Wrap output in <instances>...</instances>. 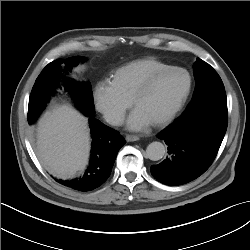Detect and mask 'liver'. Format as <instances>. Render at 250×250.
Wrapping results in <instances>:
<instances>
[{
    "label": "liver",
    "mask_w": 250,
    "mask_h": 250,
    "mask_svg": "<svg viewBox=\"0 0 250 250\" xmlns=\"http://www.w3.org/2000/svg\"><path fill=\"white\" fill-rule=\"evenodd\" d=\"M90 150L88 120L68 105L47 111L37 127V155L54 176L66 179L83 171Z\"/></svg>",
    "instance_id": "liver-1"
}]
</instances>
